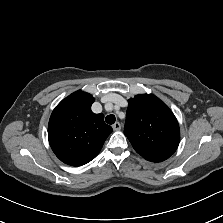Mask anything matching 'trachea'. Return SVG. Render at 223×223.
<instances>
[{"label":"trachea","mask_w":223,"mask_h":223,"mask_svg":"<svg viewBox=\"0 0 223 223\" xmlns=\"http://www.w3.org/2000/svg\"><path fill=\"white\" fill-rule=\"evenodd\" d=\"M105 121H106L108 124H114L115 121H116V117H115L113 114H110V115H108V116L105 118Z\"/></svg>","instance_id":"3493384b"}]
</instances>
